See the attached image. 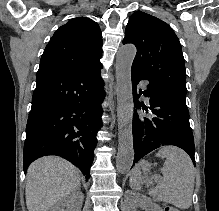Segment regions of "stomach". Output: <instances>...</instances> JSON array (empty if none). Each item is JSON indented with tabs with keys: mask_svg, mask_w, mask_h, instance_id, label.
Listing matches in <instances>:
<instances>
[{
	"mask_svg": "<svg viewBox=\"0 0 219 211\" xmlns=\"http://www.w3.org/2000/svg\"><path fill=\"white\" fill-rule=\"evenodd\" d=\"M138 167L143 171V172H147L149 171V169L151 168V164L148 161L142 160Z\"/></svg>",
	"mask_w": 219,
	"mask_h": 211,
	"instance_id": "stomach-1",
	"label": "stomach"
}]
</instances>
